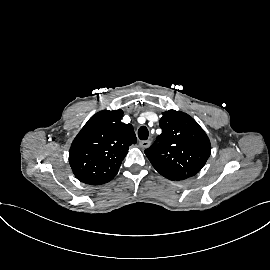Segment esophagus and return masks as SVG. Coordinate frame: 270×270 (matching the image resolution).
Wrapping results in <instances>:
<instances>
[{
	"label": "esophagus",
	"mask_w": 270,
	"mask_h": 270,
	"mask_svg": "<svg viewBox=\"0 0 270 270\" xmlns=\"http://www.w3.org/2000/svg\"><path fill=\"white\" fill-rule=\"evenodd\" d=\"M151 142L149 140L140 141L139 145L141 148L146 149L150 146Z\"/></svg>",
	"instance_id": "esophagus-1"
}]
</instances>
